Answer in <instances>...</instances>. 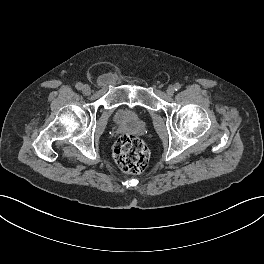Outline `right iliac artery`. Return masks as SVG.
I'll list each match as a JSON object with an SVG mask.
<instances>
[{
    "mask_svg": "<svg viewBox=\"0 0 264 264\" xmlns=\"http://www.w3.org/2000/svg\"><path fill=\"white\" fill-rule=\"evenodd\" d=\"M75 87H76V89L81 90L83 88V84L77 83Z\"/></svg>",
    "mask_w": 264,
    "mask_h": 264,
    "instance_id": "right-iliac-artery-1",
    "label": "right iliac artery"
}]
</instances>
